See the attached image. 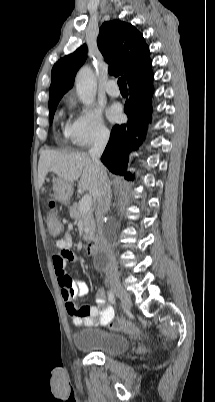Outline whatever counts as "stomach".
I'll return each instance as SVG.
<instances>
[{
    "instance_id": "stomach-1",
    "label": "stomach",
    "mask_w": 215,
    "mask_h": 402,
    "mask_svg": "<svg viewBox=\"0 0 215 402\" xmlns=\"http://www.w3.org/2000/svg\"><path fill=\"white\" fill-rule=\"evenodd\" d=\"M53 192L55 200L68 205L73 193V186L71 183L65 182L58 177L53 180Z\"/></svg>"
}]
</instances>
